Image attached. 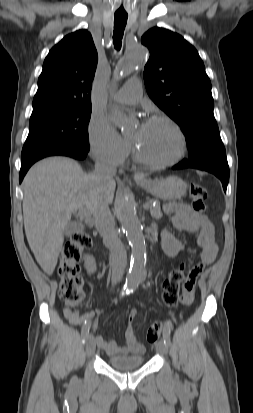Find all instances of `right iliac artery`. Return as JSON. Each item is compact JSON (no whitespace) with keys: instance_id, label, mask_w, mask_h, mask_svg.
<instances>
[{"instance_id":"obj_1","label":"right iliac artery","mask_w":253,"mask_h":413,"mask_svg":"<svg viewBox=\"0 0 253 413\" xmlns=\"http://www.w3.org/2000/svg\"><path fill=\"white\" fill-rule=\"evenodd\" d=\"M127 294H128V292L123 291V292L121 293V296L123 297L124 295H127ZM89 329H90V328L88 327V328H86V329H84V330L82 331L83 343L85 342V339L88 337Z\"/></svg>"}]
</instances>
